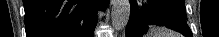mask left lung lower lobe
Listing matches in <instances>:
<instances>
[{"instance_id": "left-lung-lower-lobe-1", "label": "left lung lower lobe", "mask_w": 219, "mask_h": 37, "mask_svg": "<svg viewBox=\"0 0 219 37\" xmlns=\"http://www.w3.org/2000/svg\"><path fill=\"white\" fill-rule=\"evenodd\" d=\"M131 2L130 19L126 27V37H142L152 25L165 26L186 37H193L185 16L179 9L172 4L149 0L147 5L139 9Z\"/></svg>"}]
</instances>
